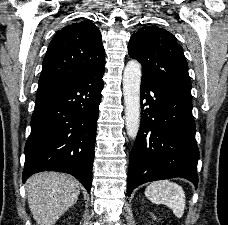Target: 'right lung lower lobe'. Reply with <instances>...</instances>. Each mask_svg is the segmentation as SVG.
I'll use <instances>...</instances> for the list:
<instances>
[{
	"instance_id": "obj_1",
	"label": "right lung lower lobe",
	"mask_w": 228,
	"mask_h": 225,
	"mask_svg": "<svg viewBox=\"0 0 228 225\" xmlns=\"http://www.w3.org/2000/svg\"><path fill=\"white\" fill-rule=\"evenodd\" d=\"M104 71L105 63L38 88L23 182L36 172L59 171L75 176L90 192Z\"/></svg>"
}]
</instances>
